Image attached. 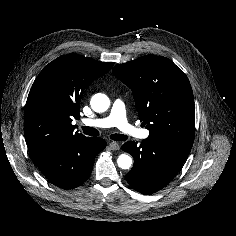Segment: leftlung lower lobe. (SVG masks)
I'll list each match as a JSON object with an SVG mask.
<instances>
[{"instance_id":"obj_1","label":"left lung lower lobe","mask_w":236,"mask_h":236,"mask_svg":"<svg viewBox=\"0 0 236 236\" xmlns=\"http://www.w3.org/2000/svg\"><path fill=\"white\" fill-rule=\"evenodd\" d=\"M191 148L150 136L140 145L134 141L126 142L122 149L133 156L134 165L125 178L136 191L153 194L175 177Z\"/></svg>"}]
</instances>
